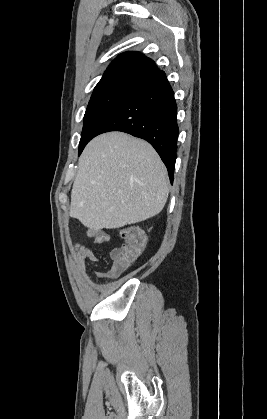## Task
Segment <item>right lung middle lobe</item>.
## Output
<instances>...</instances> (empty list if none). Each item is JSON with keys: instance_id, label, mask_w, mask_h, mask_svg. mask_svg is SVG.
<instances>
[{"instance_id": "obj_1", "label": "right lung middle lobe", "mask_w": 267, "mask_h": 419, "mask_svg": "<svg viewBox=\"0 0 267 419\" xmlns=\"http://www.w3.org/2000/svg\"><path fill=\"white\" fill-rule=\"evenodd\" d=\"M132 91H109L91 96L84 115V125L79 143V155L93 138L98 126Z\"/></svg>"}]
</instances>
